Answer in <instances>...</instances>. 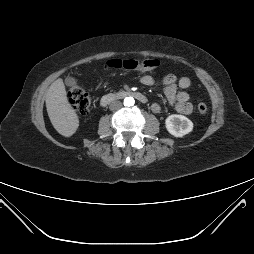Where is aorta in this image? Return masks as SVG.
Returning <instances> with one entry per match:
<instances>
[{
	"mask_svg": "<svg viewBox=\"0 0 254 254\" xmlns=\"http://www.w3.org/2000/svg\"><path fill=\"white\" fill-rule=\"evenodd\" d=\"M134 103H135V100H134L133 97H126V98L124 99V105L127 106V107L133 106Z\"/></svg>",
	"mask_w": 254,
	"mask_h": 254,
	"instance_id": "1",
	"label": "aorta"
}]
</instances>
